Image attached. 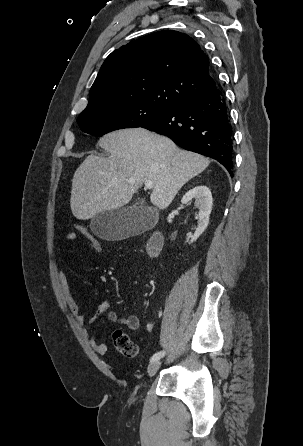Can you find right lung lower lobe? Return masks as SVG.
Wrapping results in <instances>:
<instances>
[{
	"label": "right lung lower lobe",
	"instance_id": "right-lung-lower-lobe-1",
	"mask_svg": "<svg viewBox=\"0 0 303 446\" xmlns=\"http://www.w3.org/2000/svg\"><path fill=\"white\" fill-rule=\"evenodd\" d=\"M141 127L217 160L233 174L232 130L225 97L217 86L190 95Z\"/></svg>",
	"mask_w": 303,
	"mask_h": 446
}]
</instances>
